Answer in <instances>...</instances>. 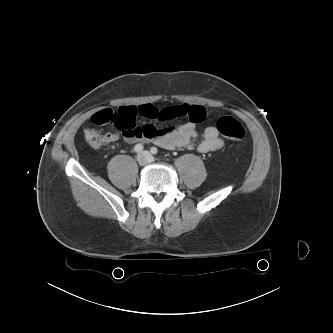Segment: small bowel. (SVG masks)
<instances>
[{
    "instance_id": "obj_1",
    "label": "small bowel",
    "mask_w": 333,
    "mask_h": 333,
    "mask_svg": "<svg viewBox=\"0 0 333 333\" xmlns=\"http://www.w3.org/2000/svg\"><path fill=\"white\" fill-rule=\"evenodd\" d=\"M141 116L164 123H170L178 119L185 122L175 127H157L154 124L137 126L133 130L121 131L124 139L129 143L152 142L161 148L173 149H192L197 148L200 153H209L220 150L224 146V141L219 135L216 127H207L200 136L196 129V124L202 122L206 117V110L199 105L184 104L176 107L157 109L153 105L145 104L134 107ZM116 133H107L108 143L118 139Z\"/></svg>"
}]
</instances>
